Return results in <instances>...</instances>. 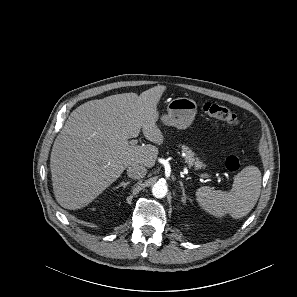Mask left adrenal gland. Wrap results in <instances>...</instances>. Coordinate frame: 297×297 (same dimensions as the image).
<instances>
[{"mask_svg": "<svg viewBox=\"0 0 297 297\" xmlns=\"http://www.w3.org/2000/svg\"><path fill=\"white\" fill-rule=\"evenodd\" d=\"M179 183H180V186H181V189H182V198H181V201H182L183 203H186V200L188 199V197H187L186 194H185V188H184V185H183V183H182L181 181H179Z\"/></svg>", "mask_w": 297, "mask_h": 297, "instance_id": "1", "label": "left adrenal gland"}]
</instances>
